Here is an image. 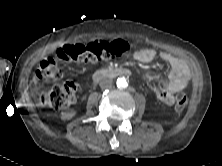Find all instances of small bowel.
Instances as JSON below:
<instances>
[{
	"label": "small bowel",
	"mask_w": 222,
	"mask_h": 166,
	"mask_svg": "<svg viewBox=\"0 0 222 166\" xmlns=\"http://www.w3.org/2000/svg\"><path fill=\"white\" fill-rule=\"evenodd\" d=\"M132 57L139 62H151L156 57L167 62L170 66L168 80L163 86H154L157 98L166 105H173L175 94L185 89L190 81V70L184 60L167 52L158 53L154 49H139L133 52Z\"/></svg>",
	"instance_id": "obj_1"
}]
</instances>
